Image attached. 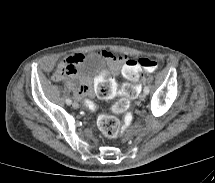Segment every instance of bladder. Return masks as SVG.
<instances>
[{"label": "bladder", "mask_w": 215, "mask_h": 183, "mask_svg": "<svg viewBox=\"0 0 215 183\" xmlns=\"http://www.w3.org/2000/svg\"><path fill=\"white\" fill-rule=\"evenodd\" d=\"M78 71L88 77L101 78L112 74L113 69L103 56L90 54L80 61Z\"/></svg>", "instance_id": "1"}]
</instances>
